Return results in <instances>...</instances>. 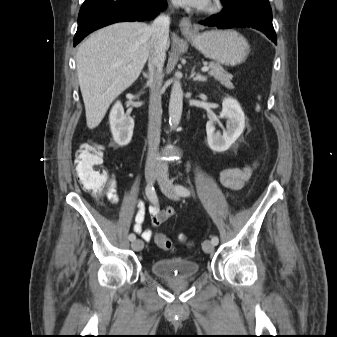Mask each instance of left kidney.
Masks as SVG:
<instances>
[{
  "mask_svg": "<svg viewBox=\"0 0 337 337\" xmlns=\"http://www.w3.org/2000/svg\"><path fill=\"white\" fill-rule=\"evenodd\" d=\"M220 117L227 119L223 134L216 132L215 124L220 123L218 118L211 119L206 124L207 142L215 152L228 150L245 128L244 112L238 101L231 97L223 99Z\"/></svg>",
  "mask_w": 337,
  "mask_h": 337,
  "instance_id": "left-kidney-1",
  "label": "left kidney"
}]
</instances>
